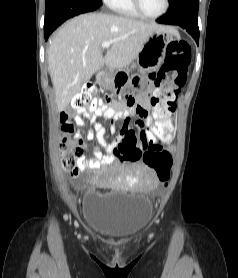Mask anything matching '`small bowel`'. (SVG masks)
<instances>
[{
    "label": "small bowel",
    "mask_w": 238,
    "mask_h": 278,
    "mask_svg": "<svg viewBox=\"0 0 238 278\" xmlns=\"http://www.w3.org/2000/svg\"><path fill=\"white\" fill-rule=\"evenodd\" d=\"M148 81H155V76H158V71L155 67L151 68V71H147ZM152 93H143L139 103L136 104L135 100H124L122 106H101L94 112L75 111L73 114L69 111H63L60 114V123L62 131L69 135L72 132L65 131L63 129L64 124H71L70 118L72 117L75 124L79 127L85 125L84 117L88 118L93 125V131L87 132V139H96L99 147L94 150L92 158H81L79 160L80 168L83 170L98 169L103 165H108L113 162L115 157L113 151L116 147L123 143L127 144H141L144 138H151L149 132L150 121L148 115H139L138 113H150L146 98H152ZM138 115L139 121L137 122V131L129 127V122L132 115ZM97 117H103L104 119L116 122L118 120L123 121L120 135L112 142H108L105 138V129L103 125L96 121ZM114 130V128H112ZM75 139L82 144V135L80 133L75 134ZM171 135L161 136L159 141L163 144L170 142ZM158 141H156L157 144ZM102 149H105L107 153H104ZM165 149V148H164ZM170 155V154H169ZM171 156V155H170ZM150 171L144 177V183L147 187H153L157 184L158 178L153 169L149 167Z\"/></svg>",
    "instance_id": "obj_1"
}]
</instances>
